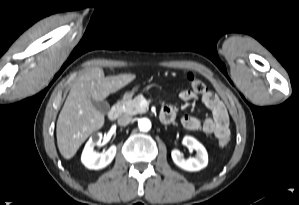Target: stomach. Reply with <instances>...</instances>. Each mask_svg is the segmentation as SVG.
<instances>
[{
	"mask_svg": "<svg viewBox=\"0 0 299 205\" xmlns=\"http://www.w3.org/2000/svg\"><path fill=\"white\" fill-rule=\"evenodd\" d=\"M132 95H133V92H128V93H126V94L124 95V98H125V99L131 98Z\"/></svg>",
	"mask_w": 299,
	"mask_h": 205,
	"instance_id": "0dacf381",
	"label": "stomach"
}]
</instances>
